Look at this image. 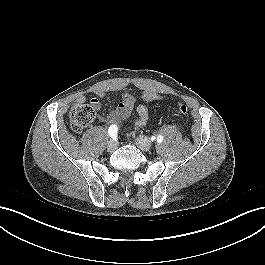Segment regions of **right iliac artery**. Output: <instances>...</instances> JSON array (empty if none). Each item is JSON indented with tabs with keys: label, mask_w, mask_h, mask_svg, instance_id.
<instances>
[{
	"label": "right iliac artery",
	"mask_w": 265,
	"mask_h": 265,
	"mask_svg": "<svg viewBox=\"0 0 265 265\" xmlns=\"http://www.w3.org/2000/svg\"><path fill=\"white\" fill-rule=\"evenodd\" d=\"M117 133H118L117 125H111L108 129L109 136L115 139L117 137Z\"/></svg>",
	"instance_id": "obj_1"
}]
</instances>
